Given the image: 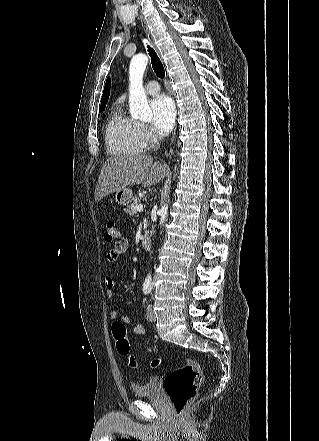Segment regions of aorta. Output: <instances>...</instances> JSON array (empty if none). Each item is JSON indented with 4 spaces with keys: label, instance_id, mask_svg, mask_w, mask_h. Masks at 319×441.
<instances>
[{
    "label": "aorta",
    "instance_id": "obj_1",
    "mask_svg": "<svg viewBox=\"0 0 319 441\" xmlns=\"http://www.w3.org/2000/svg\"><path fill=\"white\" fill-rule=\"evenodd\" d=\"M148 63V56L139 54L133 56L129 67V110L131 117L142 121L152 119V111L147 103V97L143 88V75ZM160 225L166 221L168 205L162 206L159 211ZM152 286V277L147 275L144 287Z\"/></svg>",
    "mask_w": 319,
    "mask_h": 441
}]
</instances>
